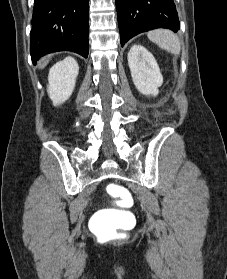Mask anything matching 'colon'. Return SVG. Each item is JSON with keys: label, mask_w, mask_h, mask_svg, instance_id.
Segmentation results:
<instances>
[{"label": "colon", "mask_w": 227, "mask_h": 279, "mask_svg": "<svg viewBox=\"0 0 227 279\" xmlns=\"http://www.w3.org/2000/svg\"><path fill=\"white\" fill-rule=\"evenodd\" d=\"M106 189L120 205L127 203L131 198L130 193L117 184H108ZM129 218L128 211L122 207L100 211L93 228L100 235L115 234L123 228Z\"/></svg>", "instance_id": "5ec220e1"}]
</instances>
